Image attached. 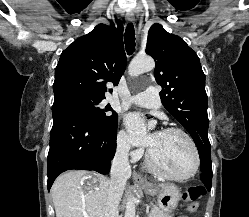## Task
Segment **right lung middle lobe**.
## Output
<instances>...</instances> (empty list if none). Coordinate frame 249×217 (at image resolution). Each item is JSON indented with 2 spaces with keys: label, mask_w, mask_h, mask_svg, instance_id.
Masks as SVG:
<instances>
[{
  "label": "right lung middle lobe",
  "mask_w": 249,
  "mask_h": 217,
  "mask_svg": "<svg viewBox=\"0 0 249 217\" xmlns=\"http://www.w3.org/2000/svg\"><path fill=\"white\" fill-rule=\"evenodd\" d=\"M102 100L81 92L67 91L56 94L53 105H66L73 108L98 128L115 129L118 124V115L110 105L101 107Z\"/></svg>",
  "instance_id": "1"
}]
</instances>
